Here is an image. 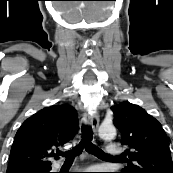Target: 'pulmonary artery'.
Returning a JSON list of instances; mask_svg holds the SVG:
<instances>
[{
    "mask_svg": "<svg viewBox=\"0 0 173 173\" xmlns=\"http://www.w3.org/2000/svg\"><path fill=\"white\" fill-rule=\"evenodd\" d=\"M106 152L111 156H117L119 155L122 150L119 146H116V145H110V146H107L106 147Z\"/></svg>",
    "mask_w": 173,
    "mask_h": 173,
    "instance_id": "1",
    "label": "pulmonary artery"
}]
</instances>
